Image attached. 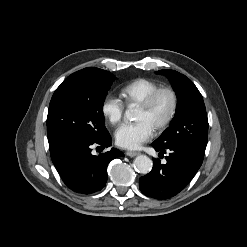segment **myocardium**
Segmentation results:
<instances>
[{"label": "myocardium", "mask_w": 247, "mask_h": 247, "mask_svg": "<svg viewBox=\"0 0 247 247\" xmlns=\"http://www.w3.org/2000/svg\"><path fill=\"white\" fill-rule=\"evenodd\" d=\"M162 94H168L170 97V109L166 115V117L158 123L154 130L159 132L166 129L170 123L173 121L179 104V98L177 92L168 86L159 87L151 92L139 105L138 107L144 110H149L153 107L158 97Z\"/></svg>", "instance_id": "obj_1"}]
</instances>
